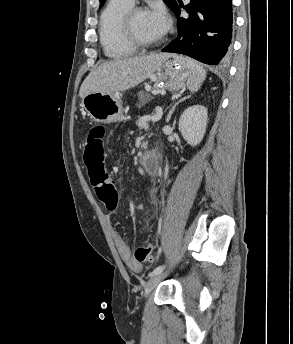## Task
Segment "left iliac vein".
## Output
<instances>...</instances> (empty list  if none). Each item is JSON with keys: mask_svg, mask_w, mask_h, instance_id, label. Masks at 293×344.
I'll return each instance as SVG.
<instances>
[{"mask_svg": "<svg viewBox=\"0 0 293 344\" xmlns=\"http://www.w3.org/2000/svg\"><path fill=\"white\" fill-rule=\"evenodd\" d=\"M164 277L163 273L152 275L144 286V296L147 297Z\"/></svg>", "mask_w": 293, "mask_h": 344, "instance_id": "obj_1", "label": "left iliac vein"}]
</instances>
